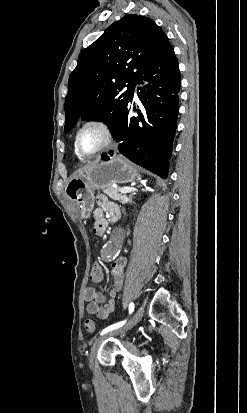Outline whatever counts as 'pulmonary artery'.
<instances>
[{
	"mask_svg": "<svg viewBox=\"0 0 247 413\" xmlns=\"http://www.w3.org/2000/svg\"><path fill=\"white\" fill-rule=\"evenodd\" d=\"M125 88H127V87H125ZM133 97H134L135 100L138 99L136 89L133 90Z\"/></svg>",
	"mask_w": 247,
	"mask_h": 413,
	"instance_id": "obj_1",
	"label": "pulmonary artery"
}]
</instances>
